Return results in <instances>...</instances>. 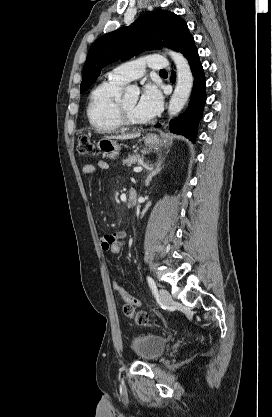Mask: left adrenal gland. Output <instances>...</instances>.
I'll list each match as a JSON object with an SVG mask.
<instances>
[{"mask_svg":"<svg viewBox=\"0 0 272 417\" xmlns=\"http://www.w3.org/2000/svg\"><path fill=\"white\" fill-rule=\"evenodd\" d=\"M164 158L159 157L156 164H155V168L151 169L147 175V178L145 180V186H148L152 180V177L155 176L156 174H158L161 169H162V163H163Z\"/></svg>","mask_w":272,"mask_h":417,"instance_id":"left-adrenal-gland-1","label":"left adrenal gland"}]
</instances>
